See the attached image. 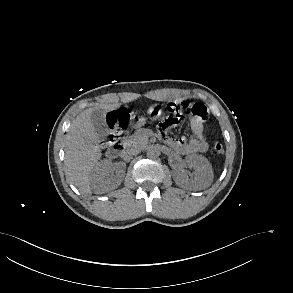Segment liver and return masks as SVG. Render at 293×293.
I'll return each mask as SVG.
<instances>
[{"mask_svg":"<svg viewBox=\"0 0 293 293\" xmlns=\"http://www.w3.org/2000/svg\"><path fill=\"white\" fill-rule=\"evenodd\" d=\"M98 107L88 108L72 122L66 135L65 166L69 180L85 194H91L90 174L101 158L99 135L91 121ZM109 109V108H108Z\"/></svg>","mask_w":293,"mask_h":293,"instance_id":"1","label":"liver"}]
</instances>
